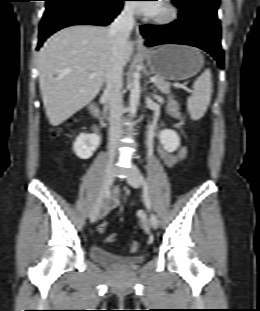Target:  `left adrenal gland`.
<instances>
[{"mask_svg":"<svg viewBox=\"0 0 260 311\" xmlns=\"http://www.w3.org/2000/svg\"><path fill=\"white\" fill-rule=\"evenodd\" d=\"M148 83H149V82H147V84H148ZM150 89H153V87L151 86ZM154 91H155V90H154Z\"/></svg>","mask_w":260,"mask_h":311,"instance_id":"obj_1","label":"left adrenal gland"}]
</instances>
